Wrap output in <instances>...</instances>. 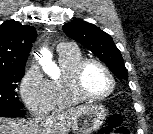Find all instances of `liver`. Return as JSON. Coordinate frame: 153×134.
<instances>
[{"label":"liver","mask_w":153,"mask_h":134,"mask_svg":"<svg viewBox=\"0 0 153 134\" xmlns=\"http://www.w3.org/2000/svg\"><path fill=\"white\" fill-rule=\"evenodd\" d=\"M84 108H71L45 119L37 117L30 121L0 118V134H67L73 121Z\"/></svg>","instance_id":"6515ba94"}]
</instances>
